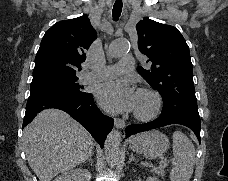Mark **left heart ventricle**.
I'll use <instances>...</instances> for the list:
<instances>
[{"label":"left heart ventricle","mask_w":228,"mask_h":181,"mask_svg":"<svg viewBox=\"0 0 228 181\" xmlns=\"http://www.w3.org/2000/svg\"><path fill=\"white\" fill-rule=\"evenodd\" d=\"M117 75H118V72L114 74V76H117ZM136 106H137V110L141 112L149 111L152 106L151 97L147 94H143V93L139 94L137 97Z\"/></svg>","instance_id":"obj_1"}]
</instances>
